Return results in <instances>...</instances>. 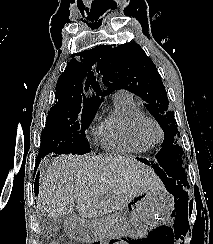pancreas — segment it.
<instances>
[{"label": "pancreas", "mask_w": 213, "mask_h": 244, "mask_svg": "<svg viewBox=\"0 0 213 244\" xmlns=\"http://www.w3.org/2000/svg\"><path fill=\"white\" fill-rule=\"evenodd\" d=\"M98 227H102V224H100ZM98 229V228H97Z\"/></svg>", "instance_id": "1"}]
</instances>
